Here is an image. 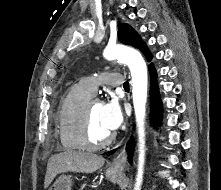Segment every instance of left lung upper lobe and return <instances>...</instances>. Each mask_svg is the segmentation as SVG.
<instances>
[{
  "label": "left lung upper lobe",
  "instance_id": "left-lung-upper-lobe-1",
  "mask_svg": "<svg viewBox=\"0 0 221 190\" xmlns=\"http://www.w3.org/2000/svg\"><path fill=\"white\" fill-rule=\"evenodd\" d=\"M119 41L126 45H132L140 49L146 56L148 61H151L152 55L149 53L145 43L141 40L139 35L134 31L132 27L127 24H121L118 32Z\"/></svg>",
  "mask_w": 221,
  "mask_h": 190
}]
</instances>
